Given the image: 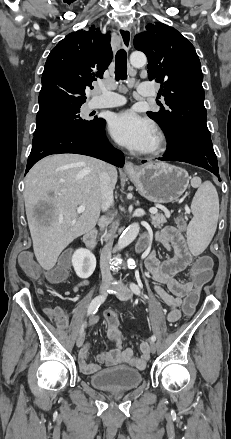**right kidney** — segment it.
Listing matches in <instances>:
<instances>
[{
    "label": "right kidney",
    "mask_w": 231,
    "mask_h": 439,
    "mask_svg": "<svg viewBox=\"0 0 231 439\" xmlns=\"http://www.w3.org/2000/svg\"><path fill=\"white\" fill-rule=\"evenodd\" d=\"M72 265L78 277H90L96 268V258L88 249L80 248L72 256Z\"/></svg>",
    "instance_id": "obj_1"
}]
</instances>
